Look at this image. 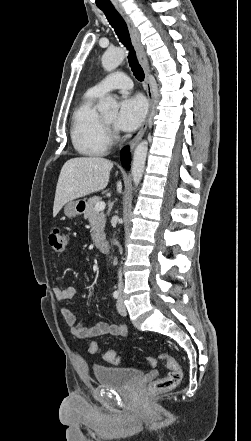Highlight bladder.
Here are the masks:
<instances>
[{"mask_svg": "<svg viewBox=\"0 0 251 441\" xmlns=\"http://www.w3.org/2000/svg\"><path fill=\"white\" fill-rule=\"evenodd\" d=\"M96 381L105 387L127 389L141 379L144 372L136 368H119L96 365L93 367Z\"/></svg>", "mask_w": 251, "mask_h": 441, "instance_id": "obj_1", "label": "bladder"}]
</instances>
